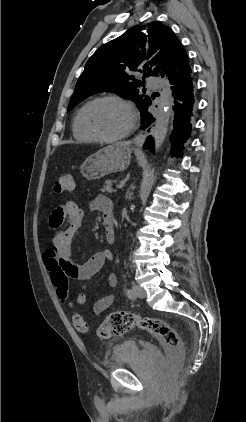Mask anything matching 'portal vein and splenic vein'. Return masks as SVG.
I'll list each match as a JSON object with an SVG mask.
<instances>
[{
	"instance_id": "obj_1",
	"label": "portal vein and splenic vein",
	"mask_w": 246,
	"mask_h": 422,
	"mask_svg": "<svg viewBox=\"0 0 246 422\" xmlns=\"http://www.w3.org/2000/svg\"><path fill=\"white\" fill-rule=\"evenodd\" d=\"M124 186H125V182H122V183L118 184L116 187H117V188H122V187H124Z\"/></svg>"
}]
</instances>
